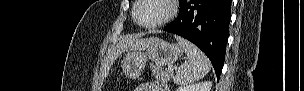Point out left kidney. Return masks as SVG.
I'll use <instances>...</instances> for the list:
<instances>
[{
  "mask_svg": "<svg viewBox=\"0 0 304 91\" xmlns=\"http://www.w3.org/2000/svg\"><path fill=\"white\" fill-rule=\"evenodd\" d=\"M211 87L212 83L205 81L198 84L180 86L176 91H210Z\"/></svg>",
  "mask_w": 304,
  "mask_h": 91,
  "instance_id": "5707ae66",
  "label": "left kidney"
}]
</instances>
